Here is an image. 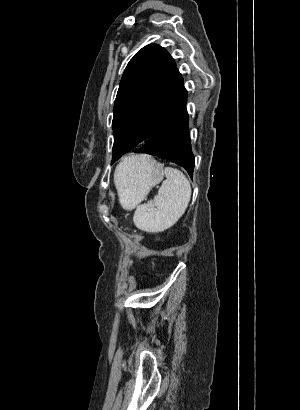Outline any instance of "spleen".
Here are the masks:
<instances>
[{
	"mask_svg": "<svg viewBox=\"0 0 300 410\" xmlns=\"http://www.w3.org/2000/svg\"><path fill=\"white\" fill-rule=\"evenodd\" d=\"M136 158H125L116 168L114 181L120 195L126 186L124 174L135 167ZM166 180L152 201L137 206L133 221L137 228L159 233L172 227L185 213L191 199V186L186 176L178 169L165 168Z\"/></svg>",
	"mask_w": 300,
	"mask_h": 410,
	"instance_id": "obj_1",
	"label": "spleen"
}]
</instances>
